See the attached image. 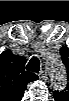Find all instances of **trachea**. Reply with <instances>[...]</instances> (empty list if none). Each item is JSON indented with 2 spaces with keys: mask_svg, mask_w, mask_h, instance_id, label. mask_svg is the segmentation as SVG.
I'll return each mask as SVG.
<instances>
[{
  "mask_svg": "<svg viewBox=\"0 0 69 101\" xmlns=\"http://www.w3.org/2000/svg\"><path fill=\"white\" fill-rule=\"evenodd\" d=\"M26 70L29 72H36L40 71V61L37 57H32L26 66Z\"/></svg>",
  "mask_w": 69,
  "mask_h": 101,
  "instance_id": "3493384b",
  "label": "trachea"
}]
</instances>
